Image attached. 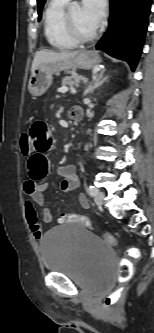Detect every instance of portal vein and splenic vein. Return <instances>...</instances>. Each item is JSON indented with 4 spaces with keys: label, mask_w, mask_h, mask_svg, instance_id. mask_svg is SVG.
<instances>
[{
    "label": "portal vein and splenic vein",
    "mask_w": 154,
    "mask_h": 333,
    "mask_svg": "<svg viewBox=\"0 0 154 333\" xmlns=\"http://www.w3.org/2000/svg\"><path fill=\"white\" fill-rule=\"evenodd\" d=\"M71 90H72L73 92H75V90H74L73 88H71ZM59 91H61V92H66V91H68V88H62V89H60Z\"/></svg>",
    "instance_id": "obj_1"
}]
</instances>
